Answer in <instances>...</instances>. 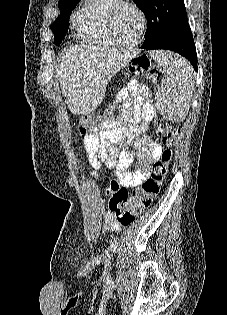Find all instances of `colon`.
I'll return each mask as SVG.
<instances>
[{"mask_svg":"<svg viewBox=\"0 0 227 315\" xmlns=\"http://www.w3.org/2000/svg\"><path fill=\"white\" fill-rule=\"evenodd\" d=\"M130 71L132 73H146L153 85H157L161 78L159 68L144 56L132 60ZM117 116L118 108L116 106L110 108L105 115L107 120L115 119ZM145 117L151 118L152 114L147 111ZM99 121L100 119L95 116H82L78 122L79 132L86 134ZM156 133L162 138L165 150L161 155V159L153 165L149 177L131 193L116 180L109 183L107 189L109 195L108 210L123 226L130 224L135 217L139 216L152 204L160 192L171 164L173 158L172 148L177 142L178 132L167 120L160 119L156 122Z\"/></svg>","mask_w":227,"mask_h":315,"instance_id":"obj_1","label":"colon"}]
</instances>
